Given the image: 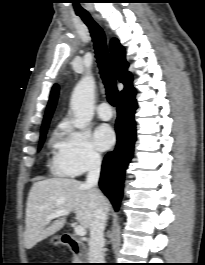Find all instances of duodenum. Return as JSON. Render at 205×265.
Wrapping results in <instances>:
<instances>
[{"mask_svg": "<svg viewBox=\"0 0 205 265\" xmlns=\"http://www.w3.org/2000/svg\"><path fill=\"white\" fill-rule=\"evenodd\" d=\"M61 242L64 246L69 248L76 256L80 258L83 257L85 253V246L80 240L70 234H63L61 237Z\"/></svg>", "mask_w": 205, "mask_h": 265, "instance_id": "410a0bca", "label": "duodenum"}]
</instances>
